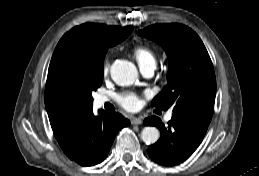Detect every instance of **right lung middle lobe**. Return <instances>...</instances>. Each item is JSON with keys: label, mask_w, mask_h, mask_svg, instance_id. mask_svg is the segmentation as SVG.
<instances>
[{"label": "right lung middle lobe", "mask_w": 259, "mask_h": 176, "mask_svg": "<svg viewBox=\"0 0 259 176\" xmlns=\"http://www.w3.org/2000/svg\"><path fill=\"white\" fill-rule=\"evenodd\" d=\"M110 46L111 44L99 47L89 46L78 39L68 49V65L82 83L91 100H93L92 91L102 84L104 57Z\"/></svg>", "instance_id": "dd1d6c3e"}]
</instances>
